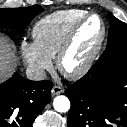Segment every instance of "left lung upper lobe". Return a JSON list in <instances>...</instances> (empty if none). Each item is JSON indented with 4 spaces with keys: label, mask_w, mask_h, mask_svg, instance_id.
Here are the masks:
<instances>
[{
    "label": "left lung upper lobe",
    "mask_w": 127,
    "mask_h": 127,
    "mask_svg": "<svg viewBox=\"0 0 127 127\" xmlns=\"http://www.w3.org/2000/svg\"><path fill=\"white\" fill-rule=\"evenodd\" d=\"M108 16L110 21L108 47L127 42V24L115 18L110 12Z\"/></svg>",
    "instance_id": "1"
}]
</instances>
